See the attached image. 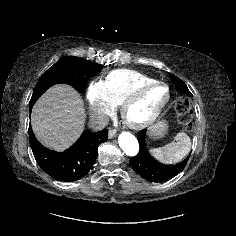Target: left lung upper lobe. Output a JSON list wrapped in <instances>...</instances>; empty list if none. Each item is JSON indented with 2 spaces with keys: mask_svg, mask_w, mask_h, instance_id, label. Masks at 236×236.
<instances>
[{
  "mask_svg": "<svg viewBox=\"0 0 236 236\" xmlns=\"http://www.w3.org/2000/svg\"><path fill=\"white\" fill-rule=\"evenodd\" d=\"M170 78L178 91L187 95H192L189 89L187 88L186 84L181 79L172 74H170Z\"/></svg>",
  "mask_w": 236,
  "mask_h": 236,
  "instance_id": "left-lung-upper-lobe-1",
  "label": "left lung upper lobe"
}]
</instances>
